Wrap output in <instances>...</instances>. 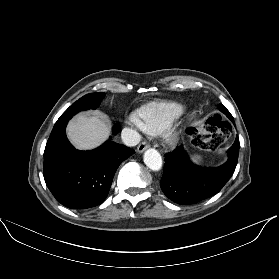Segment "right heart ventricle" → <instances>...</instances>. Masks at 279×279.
I'll use <instances>...</instances> for the list:
<instances>
[{
  "mask_svg": "<svg viewBox=\"0 0 279 279\" xmlns=\"http://www.w3.org/2000/svg\"><path fill=\"white\" fill-rule=\"evenodd\" d=\"M185 110L186 107L177 102L149 103L138 111L141 129L151 135L162 134L183 115Z\"/></svg>",
  "mask_w": 279,
  "mask_h": 279,
  "instance_id": "right-heart-ventricle-1",
  "label": "right heart ventricle"
}]
</instances>
